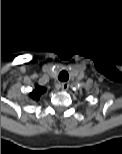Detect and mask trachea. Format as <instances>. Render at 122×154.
<instances>
[{"label":"trachea","mask_w":122,"mask_h":154,"mask_svg":"<svg viewBox=\"0 0 122 154\" xmlns=\"http://www.w3.org/2000/svg\"><path fill=\"white\" fill-rule=\"evenodd\" d=\"M58 78L60 81H67L69 79V74L67 71H61Z\"/></svg>","instance_id":"3493384b"}]
</instances>
